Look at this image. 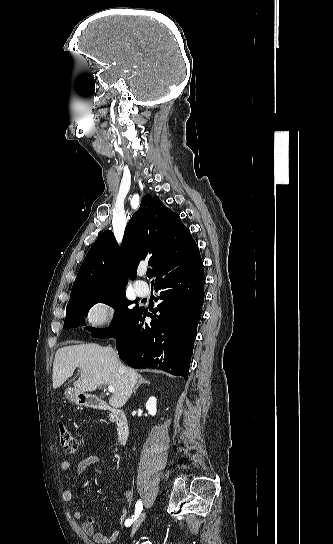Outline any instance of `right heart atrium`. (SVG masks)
Listing matches in <instances>:
<instances>
[{"label":"right heart atrium","mask_w":333,"mask_h":544,"mask_svg":"<svg viewBox=\"0 0 333 544\" xmlns=\"http://www.w3.org/2000/svg\"><path fill=\"white\" fill-rule=\"evenodd\" d=\"M112 316V309L109 305L100 303L94 306L90 312V320L96 326H106Z\"/></svg>","instance_id":"d8ad5b80"}]
</instances>
